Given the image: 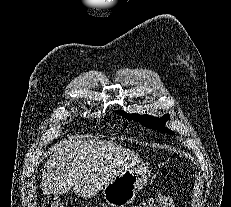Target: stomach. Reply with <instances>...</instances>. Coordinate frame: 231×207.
<instances>
[{
  "mask_svg": "<svg viewBox=\"0 0 231 207\" xmlns=\"http://www.w3.org/2000/svg\"><path fill=\"white\" fill-rule=\"evenodd\" d=\"M148 176L147 167L130 168L115 175L103 187L105 202L111 207H126L143 188Z\"/></svg>",
  "mask_w": 231,
  "mask_h": 207,
  "instance_id": "obj_1",
  "label": "stomach"
}]
</instances>
